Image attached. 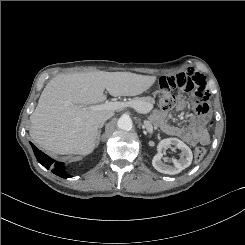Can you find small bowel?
Wrapping results in <instances>:
<instances>
[{
    "label": "small bowel",
    "mask_w": 245,
    "mask_h": 245,
    "mask_svg": "<svg viewBox=\"0 0 245 245\" xmlns=\"http://www.w3.org/2000/svg\"><path fill=\"white\" fill-rule=\"evenodd\" d=\"M158 86L163 91L172 90L173 92H178L181 89L185 92H191L196 100L194 110L197 113L196 116L190 118L189 125L174 126L167 123L164 111H158L154 115V120L161 130L167 135L182 139L191 146L208 144L209 134L205 129V125L209 120V105L207 101L208 95L205 90V77L192 69H188L172 77H161L158 81ZM185 106V100L179 99L178 108L183 109Z\"/></svg>",
    "instance_id": "small-bowel-1"
}]
</instances>
